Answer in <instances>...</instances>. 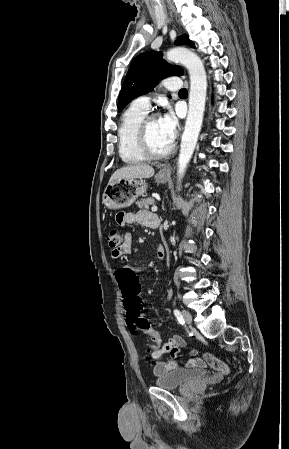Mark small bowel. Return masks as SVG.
Returning a JSON list of instances; mask_svg holds the SVG:
<instances>
[{
    "instance_id": "c3829d8e",
    "label": "small bowel",
    "mask_w": 289,
    "mask_h": 449,
    "mask_svg": "<svg viewBox=\"0 0 289 449\" xmlns=\"http://www.w3.org/2000/svg\"><path fill=\"white\" fill-rule=\"evenodd\" d=\"M117 222L121 226L140 224L152 229H155L160 224L158 216L147 211H140L136 213L121 212L117 215ZM139 252H140L139 248L136 247L132 242L131 235L127 234L125 236V240L122 243V245L118 249L112 251V257L119 258L124 255L135 254ZM157 256L159 258L163 257L162 248L158 249ZM185 347L186 342L181 336L173 335L172 337H170L168 342H165L163 344V349L165 351H159L151 354L150 359L156 361L153 367L154 374L159 376L174 369H177L180 363V357L177 354L180 353L182 348ZM197 351L198 350L195 348L194 350H191L189 354H186L184 356V359L188 361L187 366H189L190 368L200 367L203 369L207 365L208 368L210 369L214 368L216 371L223 374L229 372V367L225 363L220 361L218 357L214 356L212 352L210 351L207 352L203 357H200L202 354L199 352L197 354L199 356L198 357L196 355ZM165 353L167 356L169 357L171 356L172 358L167 361H160L159 359ZM180 365L183 367L185 364L182 362Z\"/></svg>"
}]
</instances>
